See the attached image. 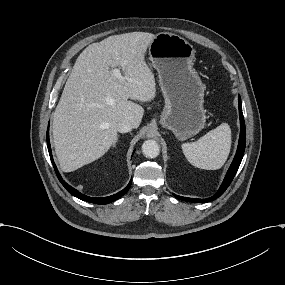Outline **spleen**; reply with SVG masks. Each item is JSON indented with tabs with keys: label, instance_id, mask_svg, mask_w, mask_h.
<instances>
[{
	"label": "spleen",
	"instance_id": "spleen-1",
	"mask_svg": "<svg viewBox=\"0 0 285 285\" xmlns=\"http://www.w3.org/2000/svg\"><path fill=\"white\" fill-rule=\"evenodd\" d=\"M231 142L230 126L222 123L198 141L182 144V150L191 165L205 170H217L226 162Z\"/></svg>",
	"mask_w": 285,
	"mask_h": 285
}]
</instances>
